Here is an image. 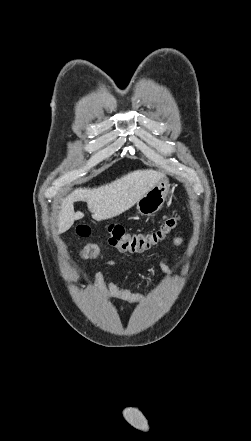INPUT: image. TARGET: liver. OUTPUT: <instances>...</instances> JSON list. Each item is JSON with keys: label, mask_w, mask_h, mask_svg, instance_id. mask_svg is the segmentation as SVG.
Returning a JSON list of instances; mask_svg holds the SVG:
<instances>
[{"label": "liver", "mask_w": 251, "mask_h": 441, "mask_svg": "<svg viewBox=\"0 0 251 441\" xmlns=\"http://www.w3.org/2000/svg\"><path fill=\"white\" fill-rule=\"evenodd\" d=\"M163 178L155 170H136L97 188H79L62 202L58 218V233L71 228L83 213L74 212V202H87L92 217L97 221L114 218L130 209L144 194Z\"/></svg>", "instance_id": "1"}]
</instances>
